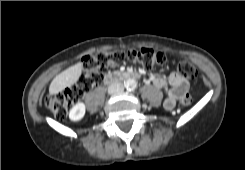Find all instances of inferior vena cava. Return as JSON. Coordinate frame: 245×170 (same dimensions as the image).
I'll return each instance as SVG.
<instances>
[{
	"instance_id": "obj_1",
	"label": "inferior vena cava",
	"mask_w": 245,
	"mask_h": 170,
	"mask_svg": "<svg viewBox=\"0 0 245 170\" xmlns=\"http://www.w3.org/2000/svg\"><path fill=\"white\" fill-rule=\"evenodd\" d=\"M123 89H124V86L122 83L115 82V83H112L111 85H109L108 92L110 94H116V93L122 92Z\"/></svg>"
}]
</instances>
